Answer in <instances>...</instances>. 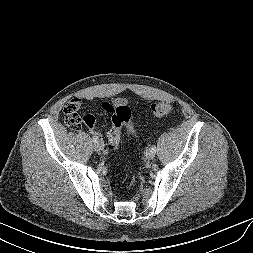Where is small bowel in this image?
<instances>
[{
    "instance_id": "small-bowel-1",
    "label": "small bowel",
    "mask_w": 253,
    "mask_h": 253,
    "mask_svg": "<svg viewBox=\"0 0 253 253\" xmlns=\"http://www.w3.org/2000/svg\"><path fill=\"white\" fill-rule=\"evenodd\" d=\"M120 103H125V104H126V101H125L124 99L119 98V99H116L112 104L105 103V104L108 106V108H105V104L103 105V108H104V110H105L106 112L111 113V109H113L116 105H118V104H120ZM89 130H90V132H91L92 134H95V135L98 134V131H97V129L94 127V125L91 126V127H89Z\"/></svg>"
}]
</instances>
